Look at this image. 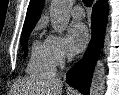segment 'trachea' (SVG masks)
Listing matches in <instances>:
<instances>
[{"label":"trachea","mask_w":119,"mask_h":95,"mask_svg":"<svg viewBox=\"0 0 119 95\" xmlns=\"http://www.w3.org/2000/svg\"><path fill=\"white\" fill-rule=\"evenodd\" d=\"M93 0H83L85 6L90 7L92 5Z\"/></svg>","instance_id":"3493384b"}]
</instances>
